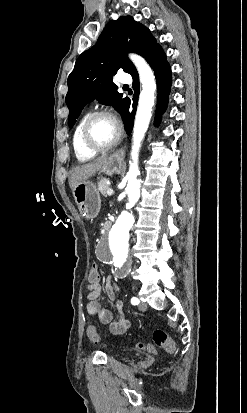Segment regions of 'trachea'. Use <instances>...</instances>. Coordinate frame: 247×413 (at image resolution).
Here are the masks:
<instances>
[{"label": "trachea", "instance_id": "trachea-1", "mask_svg": "<svg viewBox=\"0 0 247 413\" xmlns=\"http://www.w3.org/2000/svg\"><path fill=\"white\" fill-rule=\"evenodd\" d=\"M123 90H129V86L128 85H123Z\"/></svg>", "mask_w": 247, "mask_h": 413}]
</instances>
